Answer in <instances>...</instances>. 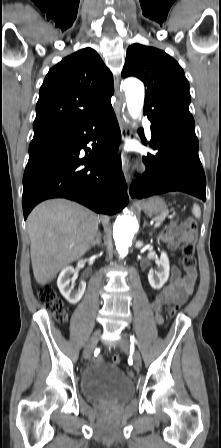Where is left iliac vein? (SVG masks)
I'll return each mask as SVG.
<instances>
[{
	"label": "left iliac vein",
	"instance_id": "obj_1",
	"mask_svg": "<svg viewBox=\"0 0 221 448\" xmlns=\"http://www.w3.org/2000/svg\"><path fill=\"white\" fill-rule=\"evenodd\" d=\"M120 346L124 352H128L131 347L129 339H128L127 335L124 333H122V338L120 339ZM132 356H133V361H134L135 366L139 367L142 362V358H141L139 351L134 350Z\"/></svg>",
	"mask_w": 221,
	"mask_h": 448
}]
</instances>
